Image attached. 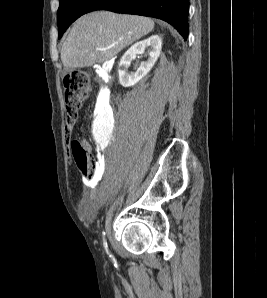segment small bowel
Listing matches in <instances>:
<instances>
[{
    "label": "small bowel",
    "mask_w": 267,
    "mask_h": 298,
    "mask_svg": "<svg viewBox=\"0 0 267 298\" xmlns=\"http://www.w3.org/2000/svg\"><path fill=\"white\" fill-rule=\"evenodd\" d=\"M106 194L92 186H86L79 200V210L86 219H93L98 207L106 200Z\"/></svg>",
    "instance_id": "small-bowel-1"
}]
</instances>
